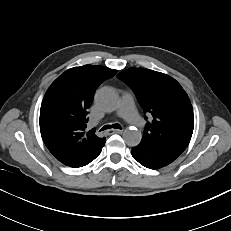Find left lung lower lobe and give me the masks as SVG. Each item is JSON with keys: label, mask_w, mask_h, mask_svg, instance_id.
<instances>
[{"label": "left lung lower lobe", "mask_w": 231, "mask_h": 231, "mask_svg": "<svg viewBox=\"0 0 231 231\" xmlns=\"http://www.w3.org/2000/svg\"><path fill=\"white\" fill-rule=\"evenodd\" d=\"M131 154L141 165L159 169L173 162L181 153L163 144L140 142L132 148Z\"/></svg>", "instance_id": "obj_1"}]
</instances>
